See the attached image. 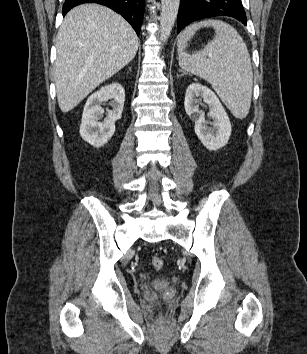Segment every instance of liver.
Here are the masks:
<instances>
[{"mask_svg":"<svg viewBox=\"0 0 307 354\" xmlns=\"http://www.w3.org/2000/svg\"><path fill=\"white\" fill-rule=\"evenodd\" d=\"M139 39L118 13L83 4L65 16L57 38L54 81L63 113L75 108L136 55Z\"/></svg>","mask_w":307,"mask_h":354,"instance_id":"liver-1","label":"liver"}]
</instances>
